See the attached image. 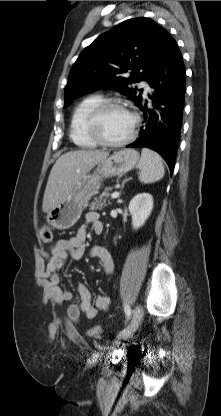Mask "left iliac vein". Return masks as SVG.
Masks as SVG:
<instances>
[{
  "mask_svg": "<svg viewBox=\"0 0 221 416\" xmlns=\"http://www.w3.org/2000/svg\"><path fill=\"white\" fill-rule=\"evenodd\" d=\"M142 315H143L142 307L140 305H137L133 310L131 321L122 331L119 332L118 340L127 339L131 335L134 334V332L138 329V326L141 322ZM118 340L115 341V343H117Z\"/></svg>",
  "mask_w": 221,
  "mask_h": 416,
  "instance_id": "1",
  "label": "left iliac vein"
}]
</instances>
